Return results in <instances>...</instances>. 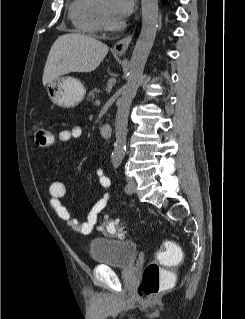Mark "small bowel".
I'll return each mask as SVG.
<instances>
[{"label":"small bowel","mask_w":245,"mask_h":319,"mask_svg":"<svg viewBox=\"0 0 245 319\" xmlns=\"http://www.w3.org/2000/svg\"><path fill=\"white\" fill-rule=\"evenodd\" d=\"M82 136V128L73 125L59 132L60 142L66 143L72 140L80 139ZM96 175L99 184L103 190L101 197L91 207L85 221H80L72 217L70 210L61 202V198L66 194L68 185L63 181H54L49 187V201L58 217L67 223L72 230L81 235H90L98 220L99 215L106 209L111 201L110 179L103 169H97Z\"/></svg>","instance_id":"small-bowel-1"}]
</instances>
